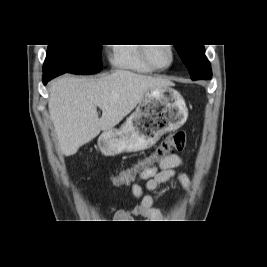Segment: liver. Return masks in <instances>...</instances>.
I'll list each match as a JSON object with an SVG mask.
<instances>
[{
  "instance_id": "1",
  "label": "liver",
  "mask_w": 267,
  "mask_h": 267,
  "mask_svg": "<svg viewBox=\"0 0 267 267\" xmlns=\"http://www.w3.org/2000/svg\"><path fill=\"white\" fill-rule=\"evenodd\" d=\"M172 85L125 70L98 79L65 76L53 81L48 108L62 153L73 155L100 131L113 129L149 90Z\"/></svg>"
}]
</instances>
